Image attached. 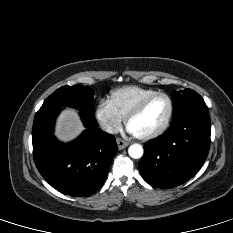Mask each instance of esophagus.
I'll return each mask as SVG.
<instances>
[{"label": "esophagus", "instance_id": "1", "mask_svg": "<svg viewBox=\"0 0 233 233\" xmlns=\"http://www.w3.org/2000/svg\"><path fill=\"white\" fill-rule=\"evenodd\" d=\"M116 142H117L118 148H119L120 150L126 148V147L129 145L128 142L122 140L121 138H117V139H116Z\"/></svg>", "mask_w": 233, "mask_h": 233}]
</instances>
